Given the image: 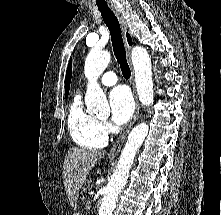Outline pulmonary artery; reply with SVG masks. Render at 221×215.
<instances>
[{
	"instance_id": "1",
	"label": "pulmonary artery",
	"mask_w": 221,
	"mask_h": 215,
	"mask_svg": "<svg viewBox=\"0 0 221 215\" xmlns=\"http://www.w3.org/2000/svg\"><path fill=\"white\" fill-rule=\"evenodd\" d=\"M101 83L106 86H111L117 83V76L113 71H108L101 77Z\"/></svg>"
}]
</instances>
